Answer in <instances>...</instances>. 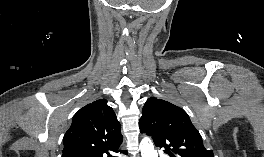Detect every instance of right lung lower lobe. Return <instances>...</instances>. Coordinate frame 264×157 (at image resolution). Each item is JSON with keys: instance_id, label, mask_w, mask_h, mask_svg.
I'll list each match as a JSON object with an SVG mask.
<instances>
[{"instance_id": "1", "label": "right lung lower lobe", "mask_w": 264, "mask_h": 157, "mask_svg": "<svg viewBox=\"0 0 264 157\" xmlns=\"http://www.w3.org/2000/svg\"><path fill=\"white\" fill-rule=\"evenodd\" d=\"M119 152L126 154V152L124 150H120Z\"/></svg>"}]
</instances>
